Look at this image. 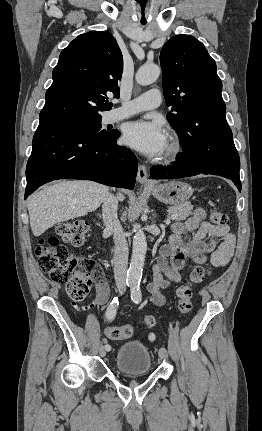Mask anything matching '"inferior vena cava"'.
Returning <instances> with one entry per match:
<instances>
[{"mask_svg": "<svg viewBox=\"0 0 262 431\" xmlns=\"http://www.w3.org/2000/svg\"><path fill=\"white\" fill-rule=\"evenodd\" d=\"M118 197L108 195L102 205L103 221L106 230L113 233L114 249V278L118 288L126 286L128 267V244L123 235L122 226L117 217Z\"/></svg>", "mask_w": 262, "mask_h": 431, "instance_id": "1", "label": "inferior vena cava"}]
</instances>
